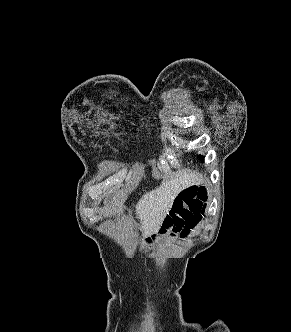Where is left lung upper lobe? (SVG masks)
Returning <instances> with one entry per match:
<instances>
[{"label":"left lung upper lobe","mask_w":291,"mask_h":332,"mask_svg":"<svg viewBox=\"0 0 291 332\" xmlns=\"http://www.w3.org/2000/svg\"><path fill=\"white\" fill-rule=\"evenodd\" d=\"M200 159L203 161V160H204V157L200 155Z\"/></svg>","instance_id":"obj_1"}]
</instances>
